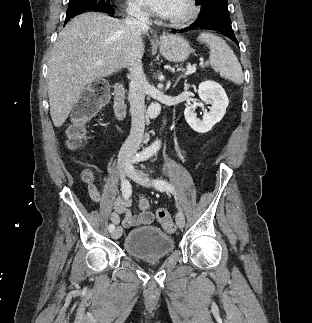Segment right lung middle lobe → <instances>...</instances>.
<instances>
[{"mask_svg":"<svg viewBox=\"0 0 312 323\" xmlns=\"http://www.w3.org/2000/svg\"><path fill=\"white\" fill-rule=\"evenodd\" d=\"M111 9L110 0H69L66 18H70L83 11Z\"/></svg>","mask_w":312,"mask_h":323,"instance_id":"right-lung-middle-lobe-1","label":"right lung middle lobe"}]
</instances>
